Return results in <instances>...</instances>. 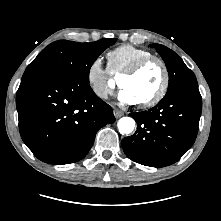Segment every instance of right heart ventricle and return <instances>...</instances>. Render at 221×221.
<instances>
[{
	"label": "right heart ventricle",
	"instance_id": "right-heart-ventricle-1",
	"mask_svg": "<svg viewBox=\"0 0 221 221\" xmlns=\"http://www.w3.org/2000/svg\"><path fill=\"white\" fill-rule=\"evenodd\" d=\"M152 55L142 47L132 44L120 45L107 53V68L111 76L118 77L139 59Z\"/></svg>",
	"mask_w": 221,
	"mask_h": 221
}]
</instances>
